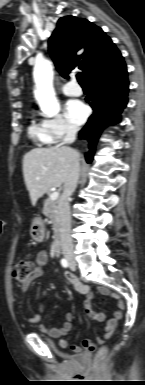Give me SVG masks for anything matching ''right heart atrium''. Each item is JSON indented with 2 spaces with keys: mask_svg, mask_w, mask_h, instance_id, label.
<instances>
[{
  "mask_svg": "<svg viewBox=\"0 0 145 385\" xmlns=\"http://www.w3.org/2000/svg\"><path fill=\"white\" fill-rule=\"evenodd\" d=\"M42 123L48 136V144L58 143L77 130V127L62 115L45 119Z\"/></svg>",
  "mask_w": 145,
  "mask_h": 385,
  "instance_id": "1",
  "label": "right heart atrium"
}]
</instances>
